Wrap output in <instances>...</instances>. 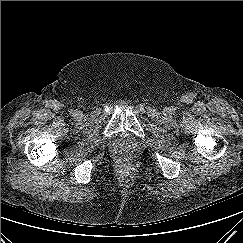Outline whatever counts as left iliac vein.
Returning a JSON list of instances; mask_svg holds the SVG:
<instances>
[{
    "label": "left iliac vein",
    "instance_id": "left-iliac-vein-1",
    "mask_svg": "<svg viewBox=\"0 0 243 243\" xmlns=\"http://www.w3.org/2000/svg\"><path fill=\"white\" fill-rule=\"evenodd\" d=\"M168 112H169V109H168V108H164V109H163V113H164V114H167Z\"/></svg>",
    "mask_w": 243,
    "mask_h": 243
}]
</instances>
